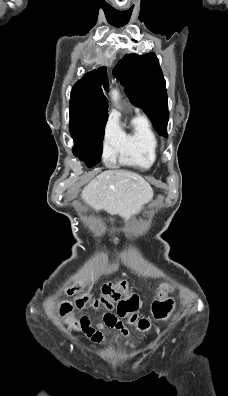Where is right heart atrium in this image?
Instances as JSON below:
<instances>
[{
    "label": "right heart atrium",
    "mask_w": 228,
    "mask_h": 396,
    "mask_svg": "<svg viewBox=\"0 0 228 396\" xmlns=\"http://www.w3.org/2000/svg\"><path fill=\"white\" fill-rule=\"evenodd\" d=\"M120 137L121 128L117 120L109 117L104 127L103 136V156L106 161H111L116 156Z\"/></svg>",
    "instance_id": "1"
}]
</instances>
